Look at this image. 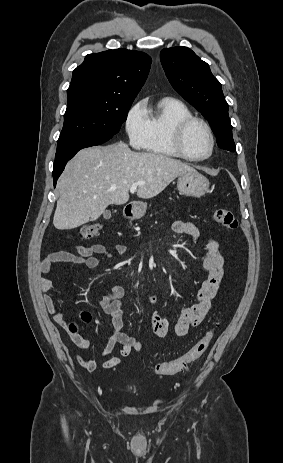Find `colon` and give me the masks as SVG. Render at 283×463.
Masks as SVG:
<instances>
[{"instance_id":"1","label":"colon","mask_w":283,"mask_h":463,"mask_svg":"<svg viewBox=\"0 0 283 463\" xmlns=\"http://www.w3.org/2000/svg\"><path fill=\"white\" fill-rule=\"evenodd\" d=\"M214 222L222 225L228 230L234 231L238 227V221L234 214L228 210L219 208L213 211L212 214ZM101 230V225L99 223H91L84 225L80 228L78 235L83 240L91 239L99 234ZM85 319H89L90 316L87 313L83 314ZM69 330L71 333H77V327L75 324L69 325ZM214 333L212 331L207 332L190 350L185 354L157 364L153 371L156 375L159 376H168L174 375L180 371H183L188 368L190 364L200 359L203 354L206 352L209 344L213 338Z\"/></svg>"}]
</instances>
